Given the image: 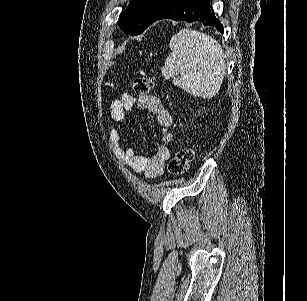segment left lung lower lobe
I'll return each mask as SVG.
<instances>
[{"instance_id":"1","label":"left lung lower lobe","mask_w":307,"mask_h":301,"mask_svg":"<svg viewBox=\"0 0 307 301\" xmlns=\"http://www.w3.org/2000/svg\"><path fill=\"white\" fill-rule=\"evenodd\" d=\"M210 1L211 0H178L156 20L169 18L175 21H200L205 26H215L217 30L222 33L223 26L220 21L216 19L215 15L211 13L209 7Z\"/></svg>"}]
</instances>
